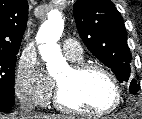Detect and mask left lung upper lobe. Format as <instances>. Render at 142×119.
<instances>
[{"label": "left lung upper lobe", "mask_w": 142, "mask_h": 119, "mask_svg": "<svg viewBox=\"0 0 142 119\" xmlns=\"http://www.w3.org/2000/svg\"><path fill=\"white\" fill-rule=\"evenodd\" d=\"M73 14L80 37L89 51L111 68L119 82H130V93L138 92L131 80V54L121 14L110 0H77Z\"/></svg>", "instance_id": "obj_1"}]
</instances>
